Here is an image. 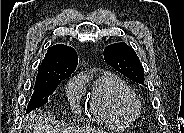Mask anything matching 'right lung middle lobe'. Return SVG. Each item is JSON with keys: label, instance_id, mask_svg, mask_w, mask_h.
<instances>
[{"label": "right lung middle lobe", "instance_id": "1", "mask_svg": "<svg viewBox=\"0 0 184 133\" xmlns=\"http://www.w3.org/2000/svg\"><path fill=\"white\" fill-rule=\"evenodd\" d=\"M62 79H56L44 87H35V91L28 103L26 113L45 105L48 102V97L53 94Z\"/></svg>", "mask_w": 184, "mask_h": 133}]
</instances>
